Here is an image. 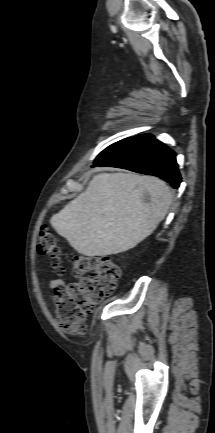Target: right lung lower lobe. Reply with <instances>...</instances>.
I'll return each mask as SVG.
<instances>
[{
  "label": "right lung lower lobe",
  "mask_w": 215,
  "mask_h": 433,
  "mask_svg": "<svg viewBox=\"0 0 215 433\" xmlns=\"http://www.w3.org/2000/svg\"><path fill=\"white\" fill-rule=\"evenodd\" d=\"M94 166H111L162 178L177 189L181 183L175 152L151 134L137 136L124 149Z\"/></svg>",
  "instance_id": "obj_1"
}]
</instances>
